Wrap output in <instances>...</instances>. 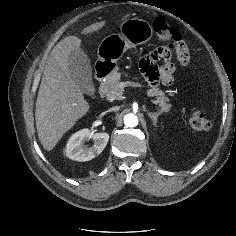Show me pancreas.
I'll return each mask as SVG.
<instances>
[{"label": "pancreas", "mask_w": 236, "mask_h": 236, "mask_svg": "<svg viewBox=\"0 0 236 236\" xmlns=\"http://www.w3.org/2000/svg\"><path fill=\"white\" fill-rule=\"evenodd\" d=\"M121 80V73L118 72V68L109 73L106 77V81L100 86V91L106 96L108 100L118 99L122 94V87H119ZM149 97H156L152 102L161 108L162 112H168L171 105L168 103L169 98L165 92L160 88H151L147 90Z\"/></svg>", "instance_id": "pancreas-1"}]
</instances>
